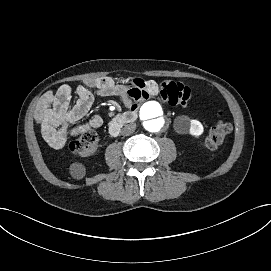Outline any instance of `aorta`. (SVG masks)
Instances as JSON below:
<instances>
[{"mask_svg": "<svg viewBox=\"0 0 271 271\" xmlns=\"http://www.w3.org/2000/svg\"><path fill=\"white\" fill-rule=\"evenodd\" d=\"M138 115L144 128L152 133L163 130L169 120V112L156 101L145 102Z\"/></svg>", "mask_w": 271, "mask_h": 271, "instance_id": "aorta-1", "label": "aorta"}]
</instances>
